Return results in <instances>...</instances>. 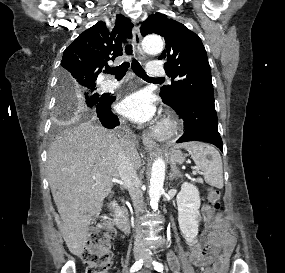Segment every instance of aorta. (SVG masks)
Wrapping results in <instances>:
<instances>
[{
    "label": "aorta",
    "mask_w": 285,
    "mask_h": 273,
    "mask_svg": "<svg viewBox=\"0 0 285 273\" xmlns=\"http://www.w3.org/2000/svg\"><path fill=\"white\" fill-rule=\"evenodd\" d=\"M143 49L146 53L157 54L162 52L164 44L158 36H147L144 38ZM165 179V163L161 158L154 161L151 169V178L149 186L150 205L154 210L158 208V202L163 193V184Z\"/></svg>",
    "instance_id": "obj_1"
}]
</instances>
